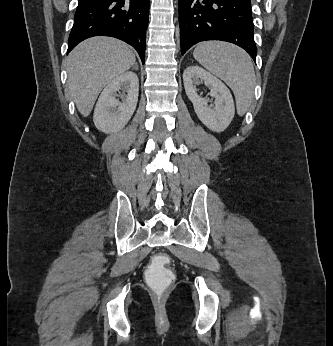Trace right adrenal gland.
Wrapping results in <instances>:
<instances>
[{
  "instance_id": "1",
  "label": "right adrenal gland",
  "mask_w": 333,
  "mask_h": 346,
  "mask_svg": "<svg viewBox=\"0 0 333 346\" xmlns=\"http://www.w3.org/2000/svg\"><path fill=\"white\" fill-rule=\"evenodd\" d=\"M132 69H135V70L139 69L137 63H135V65H134V67Z\"/></svg>"
}]
</instances>
